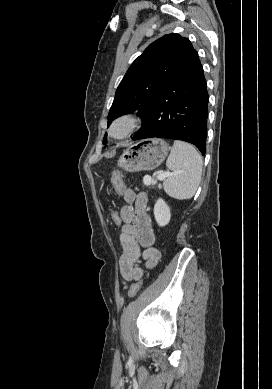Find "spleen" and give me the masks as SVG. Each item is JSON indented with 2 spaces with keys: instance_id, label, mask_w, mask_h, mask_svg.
<instances>
[{
  "instance_id": "1",
  "label": "spleen",
  "mask_w": 272,
  "mask_h": 389,
  "mask_svg": "<svg viewBox=\"0 0 272 389\" xmlns=\"http://www.w3.org/2000/svg\"><path fill=\"white\" fill-rule=\"evenodd\" d=\"M172 171L163 182L164 190L177 199H190L194 196L201 179L202 157L190 144L174 141L166 161Z\"/></svg>"
}]
</instances>
